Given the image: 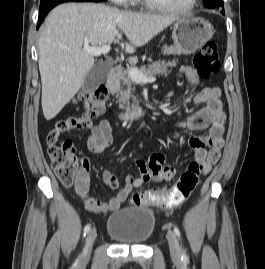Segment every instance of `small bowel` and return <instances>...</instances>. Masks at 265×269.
Wrapping results in <instances>:
<instances>
[{
    "instance_id": "1",
    "label": "small bowel",
    "mask_w": 265,
    "mask_h": 269,
    "mask_svg": "<svg viewBox=\"0 0 265 269\" xmlns=\"http://www.w3.org/2000/svg\"><path fill=\"white\" fill-rule=\"evenodd\" d=\"M180 75H185L193 84L198 83V74L190 66L181 67ZM170 95L168 94V96ZM220 96L221 90L216 86L206 87L198 91L194 97V102L196 104H205L206 106L181 123V127L187 130L201 131L207 128L211 129L209 148H207L208 139L202 136H192L188 141L196 159L203 163L205 173L218 161L220 149L224 145L222 124L225 120V114L222 111ZM216 128H219L218 134L215 133ZM111 143L112 122L109 119H103L91 127L90 135L87 139V148L90 152L101 153ZM134 163L139 175L137 177L128 175L122 188H119V182L113 170H103L102 180L107 187L114 191V195L108 202H101L89 196L90 166L88 161L85 160L77 176L75 191L82 198L86 208L98 213L115 212L119 210L121 204L127 200L134 189L151 181H171L176 174L175 168L167 163L166 155L162 152L151 154L148 160L135 159Z\"/></svg>"
}]
</instances>
